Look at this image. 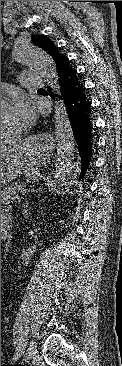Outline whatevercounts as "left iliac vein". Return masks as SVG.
Returning <instances> with one entry per match:
<instances>
[{
	"label": "left iliac vein",
	"mask_w": 122,
	"mask_h": 366,
	"mask_svg": "<svg viewBox=\"0 0 122 366\" xmlns=\"http://www.w3.org/2000/svg\"><path fill=\"white\" fill-rule=\"evenodd\" d=\"M24 346L20 342L16 347V355L15 359L17 360L23 354ZM36 355V344L34 342H30L27 353H26V360L32 359Z\"/></svg>",
	"instance_id": "1"
}]
</instances>
